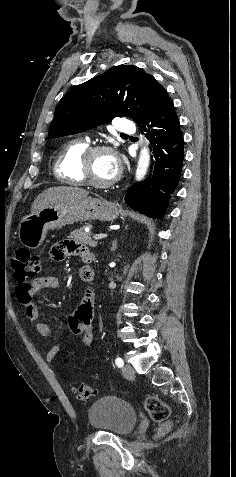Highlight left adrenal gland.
Here are the masks:
<instances>
[{
    "mask_svg": "<svg viewBox=\"0 0 236 477\" xmlns=\"http://www.w3.org/2000/svg\"><path fill=\"white\" fill-rule=\"evenodd\" d=\"M117 249V240H114L112 242V247H111V251H115Z\"/></svg>",
    "mask_w": 236,
    "mask_h": 477,
    "instance_id": "obj_1",
    "label": "left adrenal gland"
}]
</instances>
